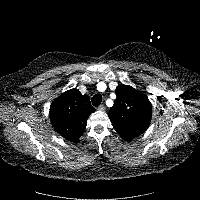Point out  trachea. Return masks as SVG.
Listing matches in <instances>:
<instances>
[{
    "label": "trachea",
    "instance_id": "trachea-1",
    "mask_svg": "<svg viewBox=\"0 0 200 200\" xmlns=\"http://www.w3.org/2000/svg\"><path fill=\"white\" fill-rule=\"evenodd\" d=\"M102 102V96L100 94H95L93 97H92V104L97 107L101 104Z\"/></svg>",
    "mask_w": 200,
    "mask_h": 200
}]
</instances>
